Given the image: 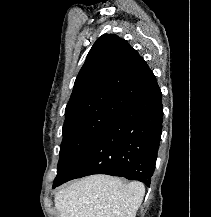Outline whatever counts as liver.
<instances>
[{"label": "liver", "mask_w": 211, "mask_h": 217, "mask_svg": "<svg viewBox=\"0 0 211 217\" xmlns=\"http://www.w3.org/2000/svg\"><path fill=\"white\" fill-rule=\"evenodd\" d=\"M144 195L140 182L92 175L59 190L54 202L59 217H135Z\"/></svg>", "instance_id": "1"}]
</instances>
